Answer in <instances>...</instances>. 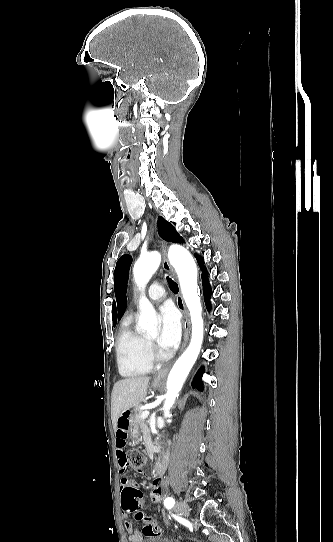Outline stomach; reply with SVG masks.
Instances as JSON below:
<instances>
[{
  "label": "stomach",
  "instance_id": "stomach-1",
  "mask_svg": "<svg viewBox=\"0 0 333 542\" xmlns=\"http://www.w3.org/2000/svg\"><path fill=\"white\" fill-rule=\"evenodd\" d=\"M162 384H156V382H152L151 388H154V390H157V388H161ZM128 417V432L130 434V438L132 440H139L141 438V433L138 428H136L137 424H135L134 420H132V416Z\"/></svg>",
  "mask_w": 333,
  "mask_h": 542
}]
</instances>
